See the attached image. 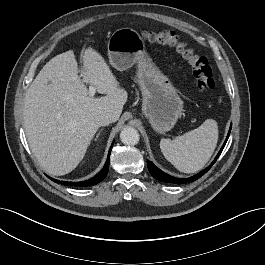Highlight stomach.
I'll use <instances>...</instances> for the list:
<instances>
[{
    "instance_id": "stomach-1",
    "label": "stomach",
    "mask_w": 265,
    "mask_h": 265,
    "mask_svg": "<svg viewBox=\"0 0 265 265\" xmlns=\"http://www.w3.org/2000/svg\"><path fill=\"white\" fill-rule=\"evenodd\" d=\"M107 48L109 62L117 70H127L137 63L143 114L155 131L171 130L183 110V101L169 78L152 62L141 35L131 28L118 29L110 36Z\"/></svg>"
}]
</instances>
